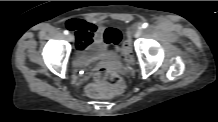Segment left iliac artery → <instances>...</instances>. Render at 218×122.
Masks as SVG:
<instances>
[{
    "mask_svg": "<svg viewBox=\"0 0 218 122\" xmlns=\"http://www.w3.org/2000/svg\"><path fill=\"white\" fill-rule=\"evenodd\" d=\"M148 27V23L147 22H145V23H143V25H142V28H147Z\"/></svg>",
    "mask_w": 218,
    "mask_h": 122,
    "instance_id": "44dca946",
    "label": "left iliac artery"
}]
</instances>
